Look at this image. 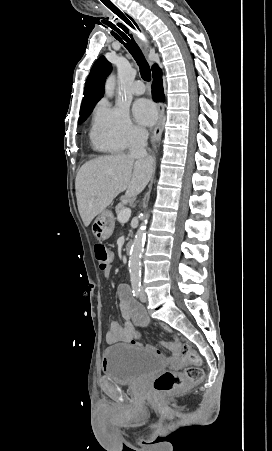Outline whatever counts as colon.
<instances>
[{
    "label": "colon",
    "instance_id": "obj_1",
    "mask_svg": "<svg viewBox=\"0 0 272 451\" xmlns=\"http://www.w3.org/2000/svg\"><path fill=\"white\" fill-rule=\"evenodd\" d=\"M94 251L100 269L104 270L111 259L108 248L104 244L99 243L95 245ZM174 359L175 366L183 365L185 369L181 372L174 370L161 372L153 381V387L159 393H168L179 386L194 385L203 377L202 366L194 365L198 359L188 345L182 344L180 349L175 351Z\"/></svg>",
    "mask_w": 272,
    "mask_h": 451
}]
</instances>
